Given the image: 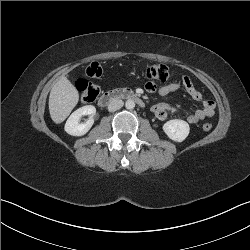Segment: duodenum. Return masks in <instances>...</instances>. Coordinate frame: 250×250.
I'll return each mask as SVG.
<instances>
[{
  "label": "duodenum",
  "mask_w": 250,
  "mask_h": 250,
  "mask_svg": "<svg viewBox=\"0 0 250 250\" xmlns=\"http://www.w3.org/2000/svg\"><path fill=\"white\" fill-rule=\"evenodd\" d=\"M118 99L132 100L142 107L145 106L142 98L135 92L128 89H115L104 92L98 99V105L105 107Z\"/></svg>",
  "instance_id": "duodenum-1"
}]
</instances>
